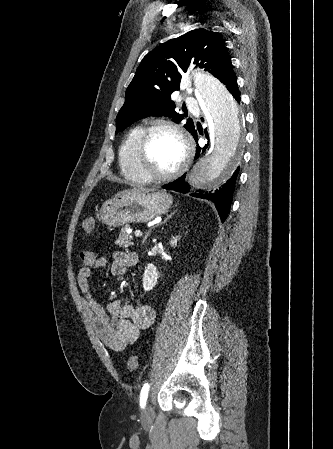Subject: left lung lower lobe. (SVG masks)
Wrapping results in <instances>:
<instances>
[{
    "instance_id": "left-lung-lower-lobe-1",
    "label": "left lung lower lobe",
    "mask_w": 333,
    "mask_h": 449,
    "mask_svg": "<svg viewBox=\"0 0 333 449\" xmlns=\"http://www.w3.org/2000/svg\"><path fill=\"white\" fill-rule=\"evenodd\" d=\"M226 85V88L233 95V97L239 102L240 101V92L237 88V78L235 73L232 71L227 78L222 82ZM196 141H198L197 132L191 133ZM207 146L204 148H200L197 146V154L196 158L201 156V154L205 151ZM239 172V168L233 173L231 178L219 189L212 191H197L192 193L191 196L196 198L208 199L214 202L215 207L220 215L221 221L224 222L226 217L228 216L230 205L233 197V191L235 187L236 178ZM164 189L175 190L182 193L189 192V185L185 182V175L177 179L176 181L169 183L167 185L162 186Z\"/></svg>"
}]
</instances>
